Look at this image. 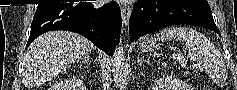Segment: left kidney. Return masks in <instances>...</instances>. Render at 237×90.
Listing matches in <instances>:
<instances>
[{
  "label": "left kidney",
  "mask_w": 237,
  "mask_h": 90,
  "mask_svg": "<svg viewBox=\"0 0 237 90\" xmlns=\"http://www.w3.org/2000/svg\"><path fill=\"white\" fill-rule=\"evenodd\" d=\"M153 90H192V88L186 82L178 80V78L163 76V78L156 80Z\"/></svg>",
  "instance_id": "5707ae66"
}]
</instances>
